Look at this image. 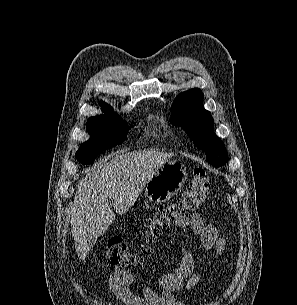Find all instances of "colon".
Masks as SVG:
<instances>
[{
    "instance_id": "obj_1",
    "label": "colon",
    "mask_w": 297,
    "mask_h": 305,
    "mask_svg": "<svg viewBox=\"0 0 297 305\" xmlns=\"http://www.w3.org/2000/svg\"><path fill=\"white\" fill-rule=\"evenodd\" d=\"M210 192V184L203 170L193 173L186 192L176 201L162 205L147 218L143 225L141 249L139 253L128 250L120 237H112L107 244L106 258L113 271H122L137 265L149 249L151 243L167 228L185 215L200 210Z\"/></svg>"
}]
</instances>
